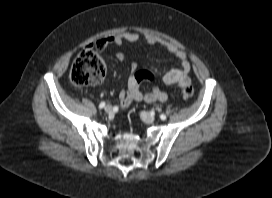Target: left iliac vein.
I'll return each instance as SVG.
<instances>
[{
  "mask_svg": "<svg viewBox=\"0 0 272 198\" xmlns=\"http://www.w3.org/2000/svg\"><path fill=\"white\" fill-rule=\"evenodd\" d=\"M141 118L144 122L151 124L155 121L154 116H152L151 114H149L148 112H141Z\"/></svg>",
  "mask_w": 272,
  "mask_h": 198,
  "instance_id": "left-iliac-vein-1",
  "label": "left iliac vein"
}]
</instances>
